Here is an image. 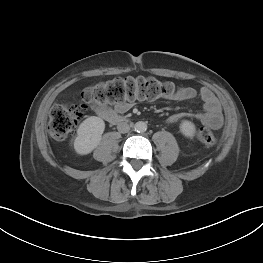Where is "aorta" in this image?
Returning a JSON list of instances; mask_svg holds the SVG:
<instances>
[{"instance_id":"1","label":"aorta","mask_w":263,"mask_h":263,"mask_svg":"<svg viewBox=\"0 0 263 263\" xmlns=\"http://www.w3.org/2000/svg\"><path fill=\"white\" fill-rule=\"evenodd\" d=\"M134 129L135 131L139 132V133H143L147 130V124L143 121H138L135 125H134Z\"/></svg>"}]
</instances>
